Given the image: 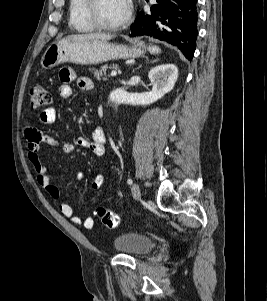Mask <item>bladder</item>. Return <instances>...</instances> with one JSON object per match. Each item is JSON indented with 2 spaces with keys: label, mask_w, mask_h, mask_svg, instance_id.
<instances>
[{
  "label": "bladder",
  "mask_w": 267,
  "mask_h": 301,
  "mask_svg": "<svg viewBox=\"0 0 267 301\" xmlns=\"http://www.w3.org/2000/svg\"><path fill=\"white\" fill-rule=\"evenodd\" d=\"M113 247L124 254L141 256L154 248V241L142 234L126 232L115 237Z\"/></svg>",
  "instance_id": "1"
}]
</instances>
